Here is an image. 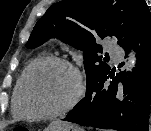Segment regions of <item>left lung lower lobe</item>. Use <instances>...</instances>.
<instances>
[{"label": "left lung lower lobe", "mask_w": 151, "mask_h": 131, "mask_svg": "<svg viewBox=\"0 0 151 131\" xmlns=\"http://www.w3.org/2000/svg\"><path fill=\"white\" fill-rule=\"evenodd\" d=\"M134 46L137 64L131 73L113 70L98 78L86 96L67 114L65 121L117 131H148L151 103V13L144 2L125 43ZM111 78L110 85H106Z\"/></svg>", "instance_id": "0a47b994"}]
</instances>
